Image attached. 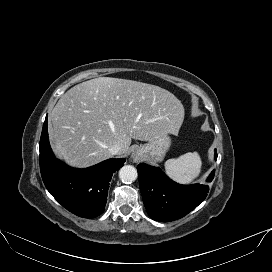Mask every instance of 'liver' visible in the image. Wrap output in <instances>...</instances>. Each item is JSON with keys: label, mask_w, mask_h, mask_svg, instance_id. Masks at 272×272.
<instances>
[{"label": "liver", "mask_w": 272, "mask_h": 272, "mask_svg": "<svg viewBox=\"0 0 272 272\" xmlns=\"http://www.w3.org/2000/svg\"><path fill=\"white\" fill-rule=\"evenodd\" d=\"M184 107L171 92L133 80L99 77L75 85L50 115L54 152L73 167L85 168L112 157L109 148L128 152L132 139L152 141L177 135Z\"/></svg>", "instance_id": "6515ba94"}]
</instances>
